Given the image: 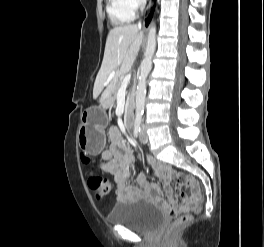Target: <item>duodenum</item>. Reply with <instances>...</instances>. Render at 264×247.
<instances>
[{"label": "duodenum", "mask_w": 264, "mask_h": 247, "mask_svg": "<svg viewBox=\"0 0 264 247\" xmlns=\"http://www.w3.org/2000/svg\"><path fill=\"white\" fill-rule=\"evenodd\" d=\"M126 123H127V126L129 128L132 127V125L134 123V113L132 110H129L127 115H126Z\"/></svg>", "instance_id": "1"}]
</instances>
